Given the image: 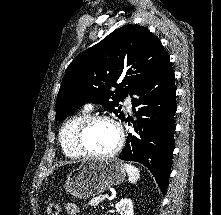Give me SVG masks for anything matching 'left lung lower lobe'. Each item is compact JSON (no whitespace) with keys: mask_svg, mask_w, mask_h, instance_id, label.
<instances>
[{"mask_svg":"<svg viewBox=\"0 0 221 215\" xmlns=\"http://www.w3.org/2000/svg\"><path fill=\"white\" fill-rule=\"evenodd\" d=\"M167 56L138 86L132 99L136 135L129 134L119 158L140 162L154 175L163 194L169 181L174 150L176 88ZM140 106L138 111L135 107Z\"/></svg>","mask_w":221,"mask_h":215,"instance_id":"0a47b994","label":"left lung lower lobe"}]
</instances>
